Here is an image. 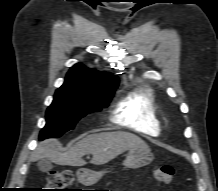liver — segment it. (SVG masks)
I'll return each mask as SVG.
<instances>
[{
	"instance_id": "1",
	"label": "liver",
	"mask_w": 218,
	"mask_h": 191,
	"mask_svg": "<svg viewBox=\"0 0 218 191\" xmlns=\"http://www.w3.org/2000/svg\"><path fill=\"white\" fill-rule=\"evenodd\" d=\"M131 149L149 150V146L128 132H101L82 138L65 152L60 150L58 140L43 141L35 150L32 160L47 158L58 165L84 166L86 162L82 157L92 154L91 163L101 165Z\"/></svg>"
}]
</instances>
